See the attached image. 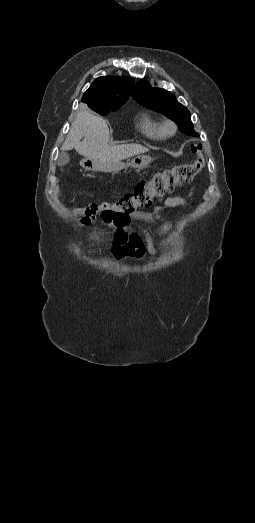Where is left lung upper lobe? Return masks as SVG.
Masks as SVG:
<instances>
[{
  "label": "left lung upper lobe",
  "mask_w": 255,
  "mask_h": 523,
  "mask_svg": "<svg viewBox=\"0 0 255 523\" xmlns=\"http://www.w3.org/2000/svg\"><path fill=\"white\" fill-rule=\"evenodd\" d=\"M132 97L137 99V102L141 105L171 118L177 123L181 132L197 136V133L193 130L189 111L178 103L169 92L160 88H153L146 81H140L136 84Z\"/></svg>",
  "instance_id": "5c2ea615"
}]
</instances>
